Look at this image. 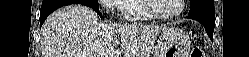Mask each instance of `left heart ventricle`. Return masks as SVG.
I'll use <instances>...</instances> for the list:
<instances>
[{"label":"left heart ventricle","instance_id":"obj_1","mask_svg":"<svg viewBox=\"0 0 249 57\" xmlns=\"http://www.w3.org/2000/svg\"><path fill=\"white\" fill-rule=\"evenodd\" d=\"M155 11L160 14L174 13L179 8V0H155Z\"/></svg>","mask_w":249,"mask_h":57}]
</instances>
